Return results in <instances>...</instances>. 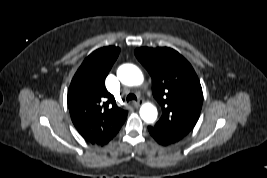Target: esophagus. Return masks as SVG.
I'll use <instances>...</instances> for the list:
<instances>
[{"instance_id":"34e87169","label":"esophagus","mask_w":267,"mask_h":178,"mask_svg":"<svg viewBox=\"0 0 267 178\" xmlns=\"http://www.w3.org/2000/svg\"><path fill=\"white\" fill-rule=\"evenodd\" d=\"M141 104H142V101L141 100H138L137 102H133V106L135 108H139L141 106Z\"/></svg>"}]
</instances>
